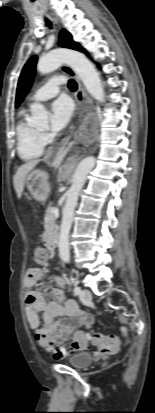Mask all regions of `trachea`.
<instances>
[{
    "instance_id": "trachea-1",
    "label": "trachea",
    "mask_w": 155,
    "mask_h": 413,
    "mask_svg": "<svg viewBox=\"0 0 155 413\" xmlns=\"http://www.w3.org/2000/svg\"><path fill=\"white\" fill-rule=\"evenodd\" d=\"M46 26H48V27H50V28H51V26H52V23H51L48 19H46ZM68 87H69V89H71V90H76V89H77V83H76L73 79H71V80H69V82H68Z\"/></svg>"
}]
</instances>
